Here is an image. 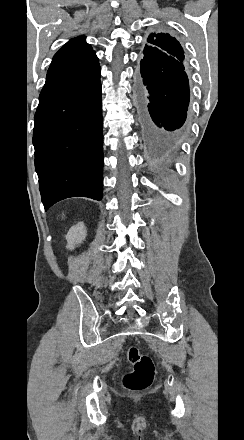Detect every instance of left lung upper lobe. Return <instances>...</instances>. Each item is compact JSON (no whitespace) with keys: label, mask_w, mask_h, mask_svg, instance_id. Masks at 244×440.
I'll use <instances>...</instances> for the list:
<instances>
[{"label":"left lung upper lobe","mask_w":244,"mask_h":440,"mask_svg":"<svg viewBox=\"0 0 244 440\" xmlns=\"http://www.w3.org/2000/svg\"><path fill=\"white\" fill-rule=\"evenodd\" d=\"M144 47V59L159 64L184 63V51L180 43L169 34L151 33Z\"/></svg>","instance_id":"5c2ea615"}]
</instances>
